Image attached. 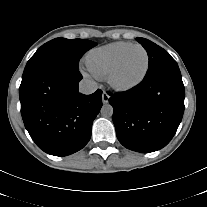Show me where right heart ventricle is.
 <instances>
[{
    "label": "right heart ventricle",
    "mask_w": 207,
    "mask_h": 207,
    "mask_svg": "<svg viewBox=\"0 0 207 207\" xmlns=\"http://www.w3.org/2000/svg\"><path fill=\"white\" fill-rule=\"evenodd\" d=\"M130 45V42H115L102 46L90 52L86 62L95 76L101 78L109 72L120 54Z\"/></svg>",
    "instance_id": "1"
}]
</instances>
